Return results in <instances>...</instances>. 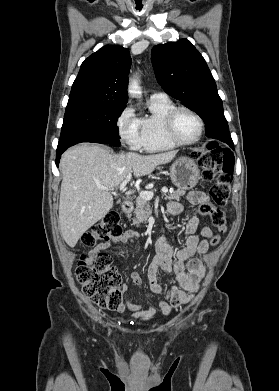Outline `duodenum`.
<instances>
[{"instance_id": "duodenum-1", "label": "duodenum", "mask_w": 279, "mask_h": 391, "mask_svg": "<svg viewBox=\"0 0 279 391\" xmlns=\"http://www.w3.org/2000/svg\"><path fill=\"white\" fill-rule=\"evenodd\" d=\"M121 211L124 214H129L133 209V204L131 201H123L121 203Z\"/></svg>"}]
</instances>
